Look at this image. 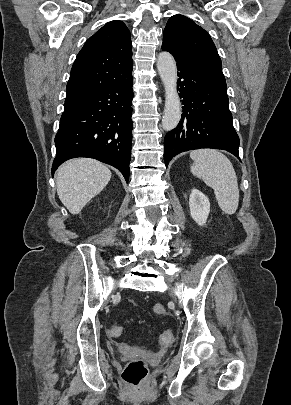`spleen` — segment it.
<instances>
[{"label": "spleen", "instance_id": "spleen-1", "mask_svg": "<svg viewBox=\"0 0 291 405\" xmlns=\"http://www.w3.org/2000/svg\"><path fill=\"white\" fill-rule=\"evenodd\" d=\"M191 172L212 187L219 207L226 214H234L239 204V188L235 170L230 160L212 149L195 150Z\"/></svg>", "mask_w": 291, "mask_h": 405}]
</instances>
